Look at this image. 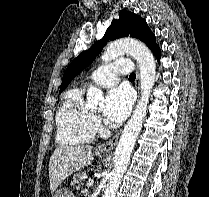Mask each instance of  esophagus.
<instances>
[{
  "mask_svg": "<svg viewBox=\"0 0 209 197\" xmlns=\"http://www.w3.org/2000/svg\"><path fill=\"white\" fill-rule=\"evenodd\" d=\"M135 88L138 92V97H139V95H140V74H139L138 68H136ZM119 136H120V132H118L115 136H113V138H111L109 141L101 144L98 147V151L101 153L111 152L114 149V147L116 146Z\"/></svg>",
  "mask_w": 209,
  "mask_h": 197,
  "instance_id": "34e87169",
  "label": "esophagus"
}]
</instances>
